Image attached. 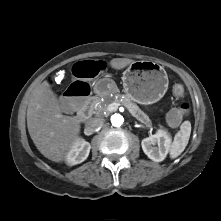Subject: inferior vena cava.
<instances>
[{"label":"inferior vena cava","instance_id":"1","mask_svg":"<svg viewBox=\"0 0 221 221\" xmlns=\"http://www.w3.org/2000/svg\"><path fill=\"white\" fill-rule=\"evenodd\" d=\"M104 123V120L101 118H90L85 123V128L90 131L94 132L98 128H100Z\"/></svg>","mask_w":221,"mask_h":221}]
</instances>
